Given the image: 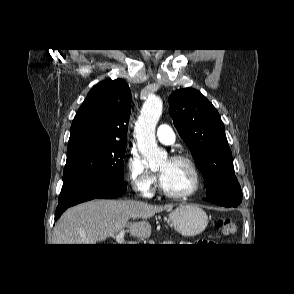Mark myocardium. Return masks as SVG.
Masks as SVG:
<instances>
[{
  "label": "myocardium",
  "mask_w": 294,
  "mask_h": 294,
  "mask_svg": "<svg viewBox=\"0 0 294 294\" xmlns=\"http://www.w3.org/2000/svg\"><path fill=\"white\" fill-rule=\"evenodd\" d=\"M169 160L175 161V162H183L189 166V168L191 169V171L193 173V177H194L193 187L186 193H180V194L172 193L164 188V186L161 182V179H160L159 184H158L160 193L162 195H164L165 197L170 198V199H174V200H185V199L192 197L200 189L201 184H202L201 173H200V170H199L196 162L191 157H189L187 155H183V154L174 155Z\"/></svg>",
  "instance_id": "myocardium-1"
}]
</instances>
